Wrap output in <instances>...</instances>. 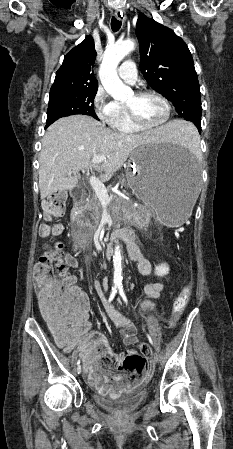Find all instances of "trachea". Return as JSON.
<instances>
[{
    "label": "trachea",
    "instance_id": "trachea-1",
    "mask_svg": "<svg viewBox=\"0 0 233 449\" xmlns=\"http://www.w3.org/2000/svg\"><path fill=\"white\" fill-rule=\"evenodd\" d=\"M120 27H121V21H119L115 17H112L111 28H112L113 32H117L120 29Z\"/></svg>",
    "mask_w": 233,
    "mask_h": 449
}]
</instances>
